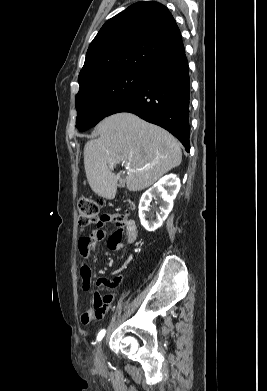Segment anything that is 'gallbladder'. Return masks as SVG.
Instances as JSON below:
<instances>
[{"instance_id": "bac80fb5", "label": "gallbladder", "mask_w": 267, "mask_h": 391, "mask_svg": "<svg viewBox=\"0 0 267 391\" xmlns=\"http://www.w3.org/2000/svg\"><path fill=\"white\" fill-rule=\"evenodd\" d=\"M119 186L120 187H124L125 186V181H124L123 177L120 178V180H119Z\"/></svg>"}]
</instances>
